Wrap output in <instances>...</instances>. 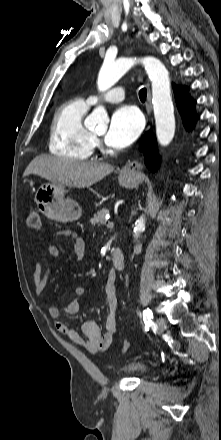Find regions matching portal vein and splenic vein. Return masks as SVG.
<instances>
[{
    "mask_svg": "<svg viewBox=\"0 0 221 440\" xmlns=\"http://www.w3.org/2000/svg\"><path fill=\"white\" fill-rule=\"evenodd\" d=\"M114 226V223L111 221H108L107 227L108 228H112Z\"/></svg>",
    "mask_w": 221,
    "mask_h": 440,
    "instance_id": "portal-vein-and-splenic-vein-1",
    "label": "portal vein and splenic vein"
}]
</instances>
